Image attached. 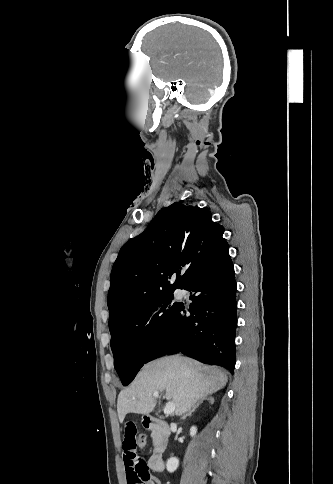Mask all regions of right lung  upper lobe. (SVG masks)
I'll list each match as a JSON object with an SVG mask.
<instances>
[{
    "label": "right lung upper lobe",
    "instance_id": "right-lung-upper-lobe-1",
    "mask_svg": "<svg viewBox=\"0 0 333 484\" xmlns=\"http://www.w3.org/2000/svg\"><path fill=\"white\" fill-rule=\"evenodd\" d=\"M223 233L207 209L175 202L160 210L143 233L123 245L112 267L109 326L182 289L227 245Z\"/></svg>",
    "mask_w": 333,
    "mask_h": 484
}]
</instances>
